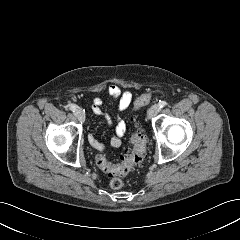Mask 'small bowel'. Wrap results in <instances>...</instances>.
<instances>
[{
	"mask_svg": "<svg viewBox=\"0 0 240 240\" xmlns=\"http://www.w3.org/2000/svg\"><path fill=\"white\" fill-rule=\"evenodd\" d=\"M110 97L117 103L120 111L126 110L132 102V93L128 90H122L116 84H110L107 88ZM103 101L99 97H95L92 101V111L97 116H104L106 121L111 124L112 120L109 115L104 114L102 110ZM127 132V125L121 118L117 119L115 132L108 144H105L97 139L93 134L88 136L90 144L98 151H105L108 147L117 148L122 144V138Z\"/></svg>",
	"mask_w": 240,
	"mask_h": 240,
	"instance_id": "c3829d8e",
	"label": "small bowel"
}]
</instances>
